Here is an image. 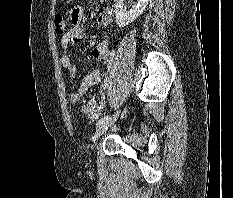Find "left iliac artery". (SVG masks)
<instances>
[{"instance_id":"1","label":"left iliac artery","mask_w":233,"mask_h":198,"mask_svg":"<svg viewBox=\"0 0 233 198\" xmlns=\"http://www.w3.org/2000/svg\"><path fill=\"white\" fill-rule=\"evenodd\" d=\"M106 85H107V83L104 82L103 87L105 88ZM108 118H109V115H106V116L102 117L101 119H99V120L97 121L96 125L98 126V125L101 124L102 122L108 120Z\"/></svg>"}]
</instances>
